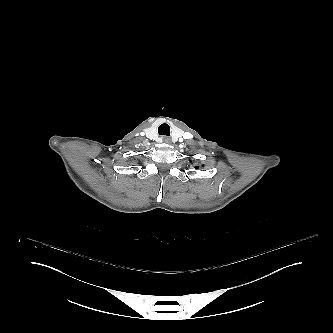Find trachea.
Instances as JSON below:
<instances>
[{"label":"trachea","instance_id":"obj_1","mask_svg":"<svg viewBox=\"0 0 333 333\" xmlns=\"http://www.w3.org/2000/svg\"><path fill=\"white\" fill-rule=\"evenodd\" d=\"M158 134L159 135H165L169 136L170 135V127L167 123H163L158 127Z\"/></svg>","mask_w":333,"mask_h":333}]
</instances>
